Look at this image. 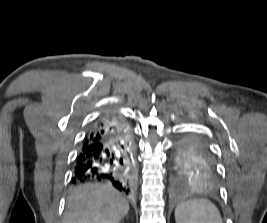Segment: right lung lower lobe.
Listing matches in <instances>:
<instances>
[{
  "label": "right lung lower lobe",
  "mask_w": 267,
  "mask_h": 223,
  "mask_svg": "<svg viewBox=\"0 0 267 223\" xmlns=\"http://www.w3.org/2000/svg\"><path fill=\"white\" fill-rule=\"evenodd\" d=\"M131 142L127 127L99 142L83 144L76 159L72 183L101 182L129 194L136 179Z\"/></svg>",
  "instance_id": "obj_1"
}]
</instances>
